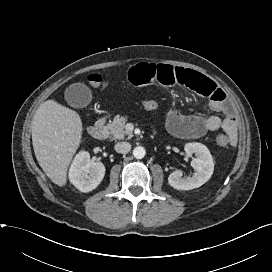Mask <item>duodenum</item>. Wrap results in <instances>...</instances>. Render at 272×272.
Returning <instances> with one entry per match:
<instances>
[{"mask_svg": "<svg viewBox=\"0 0 272 272\" xmlns=\"http://www.w3.org/2000/svg\"><path fill=\"white\" fill-rule=\"evenodd\" d=\"M106 117L100 118L94 125L88 127V134L96 140L102 141L107 138V130L105 128Z\"/></svg>", "mask_w": 272, "mask_h": 272, "instance_id": "duodenum-1", "label": "duodenum"}]
</instances>
